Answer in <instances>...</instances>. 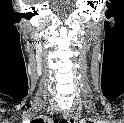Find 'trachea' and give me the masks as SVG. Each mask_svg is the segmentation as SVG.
I'll return each mask as SVG.
<instances>
[{
	"instance_id": "obj_1",
	"label": "trachea",
	"mask_w": 124,
	"mask_h": 123,
	"mask_svg": "<svg viewBox=\"0 0 124 123\" xmlns=\"http://www.w3.org/2000/svg\"><path fill=\"white\" fill-rule=\"evenodd\" d=\"M61 123H67V120L63 119L61 120Z\"/></svg>"
}]
</instances>
